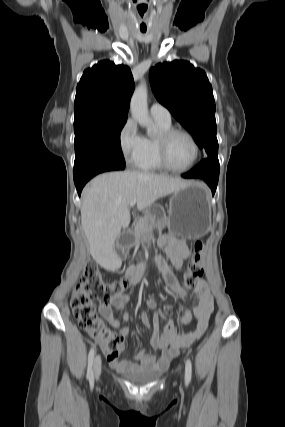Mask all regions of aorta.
I'll return each mask as SVG.
<instances>
[{
    "mask_svg": "<svg viewBox=\"0 0 285 427\" xmlns=\"http://www.w3.org/2000/svg\"><path fill=\"white\" fill-rule=\"evenodd\" d=\"M147 96V86L145 81H142L131 97L130 111L132 117L147 129L148 134H151L155 130V125L149 116Z\"/></svg>",
    "mask_w": 285,
    "mask_h": 427,
    "instance_id": "1",
    "label": "aorta"
}]
</instances>
